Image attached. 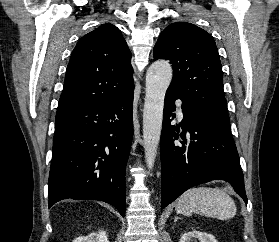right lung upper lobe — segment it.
Listing matches in <instances>:
<instances>
[{
    "instance_id": "obj_1",
    "label": "right lung upper lobe",
    "mask_w": 279,
    "mask_h": 242,
    "mask_svg": "<svg viewBox=\"0 0 279 242\" xmlns=\"http://www.w3.org/2000/svg\"><path fill=\"white\" fill-rule=\"evenodd\" d=\"M131 53L120 30L104 24L84 35L72 52L57 112L106 103L134 89Z\"/></svg>"
}]
</instances>
